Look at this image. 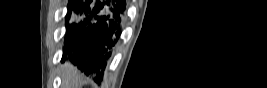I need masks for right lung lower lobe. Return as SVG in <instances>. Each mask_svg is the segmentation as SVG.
Instances as JSON below:
<instances>
[{"label": "right lung lower lobe", "instance_id": "98d812e1", "mask_svg": "<svg viewBox=\"0 0 267 88\" xmlns=\"http://www.w3.org/2000/svg\"><path fill=\"white\" fill-rule=\"evenodd\" d=\"M125 12V0H73L66 21L74 22L66 26L62 60L72 53V62L81 71L101 81L121 35Z\"/></svg>", "mask_w": 267, "mask_h": 88}]
</instances>
